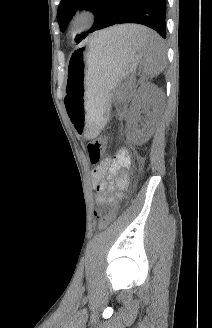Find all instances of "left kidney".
Here are the masks:
<instances>
[{
  "instance_id": "5707ae66",
  "label": "left kidney",
  "mask_w": 212,
  "mask_h": 328,
  "mask_svg": "<svg viewBox=\"0 0 212 328\" xmlns=\"http://www.w3.org/2000/svg\"><path fill=\"white\" fill-rule=\"evenodd\" d=\"M160 95L161 93L156 86L146 84L138 89L132 99L127 125L132 135V141L135 143H143L153 134L156 120L150 108L155 109L158 106L161 101ZM141 110L146 113L148 121L139 128Z\"/></svg>"
}]
</instances>
